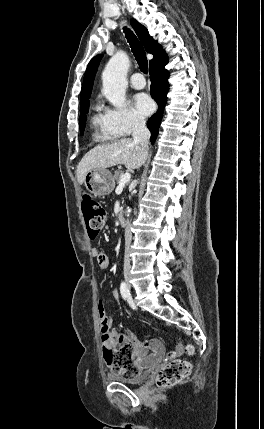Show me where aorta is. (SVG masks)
<instances>
[{"instance_id":"obj_1","label":"aorta","mask_w":264,"mask_h":429,"mask_svg":"<svg viewBox=\"0 0 264 429\" xmlns=\"http://www.w3.org/2000/svg\"><path fill=\"white\" fill-rule=\"evenodd\" d=\"M129 68V58L125 52H117L107 63L103 73V94L117 108L125 102L126 75ZM131 212L127 208V215Z\"/></svg>"}]
</instances>
